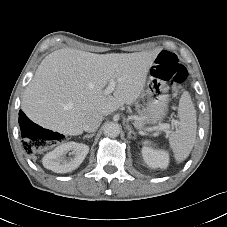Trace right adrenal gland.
<instances>
[{"mask_svg":"<svg viewBox=\"0 0 227 227\" xmlns=\"http://www.w3.org/2000/svg\"><path fill=\"white\" fill-rule=\"evenodd\" d=\"M95 135V133H92V134H86V135H84V139L85 138H92L93 136Z\"/></svg>","mask_w":227,"mask_h":227,"instance_id":"obj_1","label":"right adrenal gland"}]
</instances>
